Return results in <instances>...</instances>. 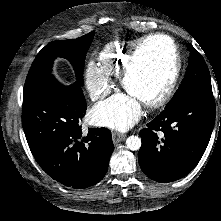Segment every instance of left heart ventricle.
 I'll use <instances>...</instances> for the list:
<instances>
[{"instance_id":"1","label":"left heart ventricle","mask_w":221,"mask_h":221,"mask_svg":"<svg viewBox=\"0 0 221 221\" xmlns=\"http://www.w3.org/2000/svg\"><path fill=\"white\" fill-rule=\"evenodd\" d=\"M173 58L169 42L163 38L149 41L141 50L127 80V93L139 103L150 100L167 82Z\"/></svg>"}]
</instances>
